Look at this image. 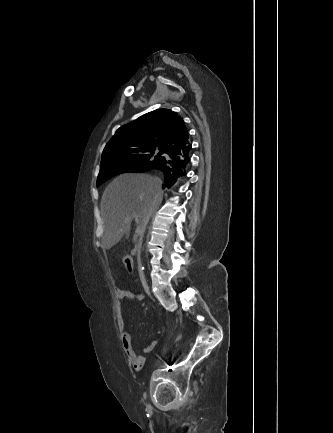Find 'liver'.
<instances>
[{
	"instance_id": "6515ba94",
	"label": "liver",
	"mask_w": 333,
	"mask_h": 433,
	"mask_svg": "<svg viewBox=\"0 0 333 433\" xmlns=\"http://www.w3.org/2000/svg\"><path fill=\"white\" fill-rule=\"evenodd\" d=\"M161 200L162 191L155 177L124 174L115 178L101 199L102 248L110 250L123 236L129 238L133 215L138 217V227L142 230L144 218L154 212Z\"/></svg>"
}]
</instances>
